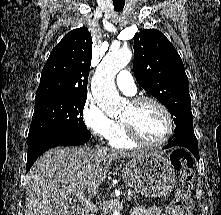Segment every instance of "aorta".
I'll list each match as a JSON object with an SVG mask.
<instances>
[{"label":"aorta","instance_id":"762f6f07","mask_svg":"<svg viewBox=\"0 0 221 215\" xmlns=\"http://www.w3.org/2000/svg\"><path fill=\"white\" fill-rule=\"evenodd\" d=\"M132 58L130 50L109 51L97 67L94 74L91 90L97 105L108 115L120 113L123 100L115 86V76ZM112 215H121L114 210Z\"/></svg>","mask_w":221,"mask_h":215}]
</instances>
